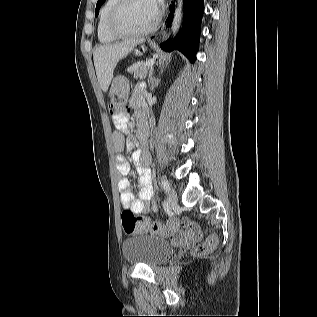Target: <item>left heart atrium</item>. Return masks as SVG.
Wrapping results in <instances>:
<instances>
[{
  "label": "left heart atrium",
  "instance_id": "left-heart-atrium-1",
  "mask_svg": "<svg viewBox=\"0 0 317 317\" xmlns=\"http://www.w3.org/2000/svg\"><path fill=\"white\" fill-rule=\"evenodd\" d=\"M152 1L154 2L155 6L158 7L160 0H152Z\"/></svg>",
  "mask_w": 317,
  "mask_h": 317
}]
</instances>
